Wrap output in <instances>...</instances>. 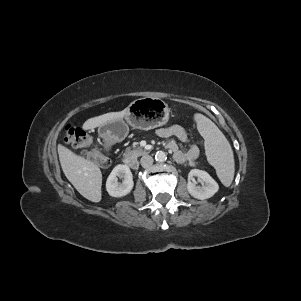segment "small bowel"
<instances>
[{
  "instance_id": "1",
  "label": "small bowel",
  "mask_w": 301,
  "mask_h": 301,
  "mask_svg": "<svg viewBox=\"0 0 301 301\" xmlns=\"http://www.w3.org/2000/svg\"><path fill=\"white\" fill-rule=\"evenodd\" d=\"M157 134L166 139V146L172 151L174 159L178 163L191 164L197 159L199 148L196 144H191L186 151H182L178 145L170 139L171 137H176L182 143H186L188 141V134L183 127L179 125L162 127L157 130Z\"/></svg>"
}]
</instances>
